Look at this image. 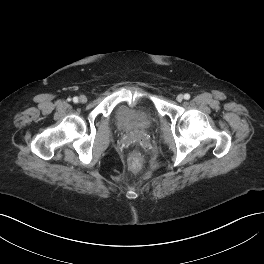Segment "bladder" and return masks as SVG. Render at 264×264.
<instances>
[{"instance_id":"obj_1","label":"bladder","mask_w":264,"mask_h":264,"mask_svg":"<svg viewBox=\"0 0 264 264\" xmlns=\"http://www.w3.org/2000/svg\"><path fill=\"white\" fill-rule=\"evenodd\" d=\"M153 121V111L146 105H123L116 112V124L121 130H144Z\"/></svg>"}]
</instances>
